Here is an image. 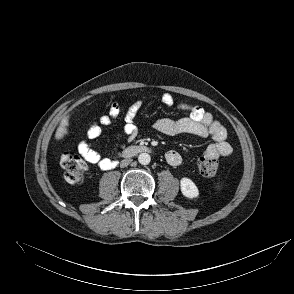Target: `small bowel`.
I'll return each mask as SVG.
<instances>
[{"label":"small bowel","instance_id":"c3829d8e","mask_svg":"<svg viewBox=\"0 0 294 294\" xmlns=\"http://www.w3.org/2000/svg\"><path fill=\"white\" fill-rule=\"evenodd\" d=\"M161 102L165 106H176L179 110L187 113V116L178 120L162 118L155 121L153 128L165 135L175 136L179 134H191L199 137H211L212 143L206 148L203 155L211 156L216 159L227 157L231 154L232 148L227 142V131L223 125L216 120L213 115L206 112L202 107L186 102L175 103L170 93H162ZM144 102L138 100L133 103L124 116L123 132L132 140L137 135V126L135 118ZM120 108L118 103L114 102L110 106L108 114L100 116L96 121L90 124L87 129L88 140H83L78 145V151L89 163L96 164L102 170H111L118 164L119 152L113 158L103 157L94 149L91 141L101 135L102 126H109L119 116ZM167 163L171 166H179L183 158L176 150H169L165 154Z\"/></svg>","mask_w":294,"mask_h":294}]
</instances>
